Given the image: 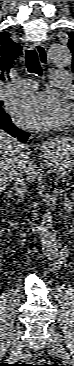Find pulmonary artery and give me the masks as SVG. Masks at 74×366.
Here are the masks:
<instances>
[{"label": "pulmonary artery", "instance_id": "pulmonary-artery-1", "mask_svg": "<svg viewBox=\"0 0 74 366\" xmlns=\"http://www.w3.org/2000/svg\"><path fill=\"white\" fill-rule=\"evenodd\" d=\"M71 78L69 72L63 69L55 70L51 72L52 85L56 88H65ZM37 89V84L34 80L30 79H17L10 83L8 86V92L14 95L29 94Z\"/></svg>", "mask_w": 74, "mask_h": 366}]
</instances>
